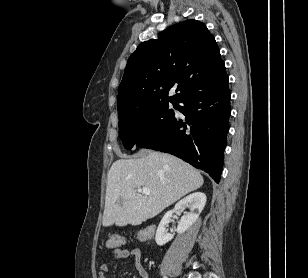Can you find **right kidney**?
<instances>
[{
  "mask_svg": "<svg viewBox=\"0 0 308 278\" xmlns=\"http://www.w3.org/2000/svg\"><path fill=\"white\" fill-rule=\"evenodd\" d=\"M205 204L206 195L201 192L190 194L189 196L179 201L175 205L174 209L166 213L162 218L155 236V241L157 245L162 246L173 239V235L167 233L166 226L170 222V219L174 212L182 211L185 207H188L190 209L189 213H186L182 216L177 227V233L182 234L197 221L201 211L205 207Z\"/></svg>",
  "mask_w": 308,
  "mask_h": 278,
  "instance_id": "right-kidney-1",
  "label": "right kidney"
}]
</instances>
